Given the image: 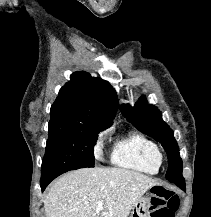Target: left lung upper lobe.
I'll return each mask as SVG.
<instances>
[{
	"instance_id": "1",
	"label": "left lung upper lobe",
	"mask_w": 211,
	"mask_h": 217,
	"mask_svg": "<svg viewBox=\"0 0 211 217\" xmlns=\"http://www.w3.org/2000/svg\"><path fill=\"white\" fill-rule=\"evenodd\" d=\"M120 110L139 131L148 134L162 144L168 157L166 179L176 185H185L178 144L173 137V131L163 121L162 114L157 107L148 105L146 98L142 96L134 107L123 104Z\"/></svg>"
}]
</instances>
